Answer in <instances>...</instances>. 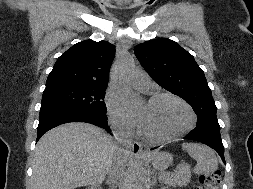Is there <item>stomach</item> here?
Returning <instances> with one entry per match:
<instances>
[{"label":"stomach","instance_id":"1","mask_svg":"<svg viewBox=\"0 0 253 189\" xmlns=\"http://www.w3.org/2000/svg\"><path fill=\"white\" fill-rule=\"evenodd\" d=\"M153 167L157 170L167 169L173 162V155L169 152H156L150 157Z\"/></svg>","mask_w":253,"mask_h":189}]
</instances>
